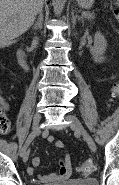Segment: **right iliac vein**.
<instances>
[{
    "label": "right iliac vein",
    "instance_id": "right-iliac-vein-1",
    "mask_svg": "<svg viewBox=\"0 0 119 185\" xmlns=\"http://www.w3.org/2000/svg\"><path fill=\"white\" fill-rule=\"evenodd\" d=\"M40 119H41L40 113L36 112V114H35V116H34L33 127H32V134H33L34 136H36V134H37L38 131H39ZM28 158H29V150L26 149L25 152H24L23 155H22L23 162H27Z\"/></svg>",
    "mask_w": 119,
    "mask_h": 185
}]
</instances>
